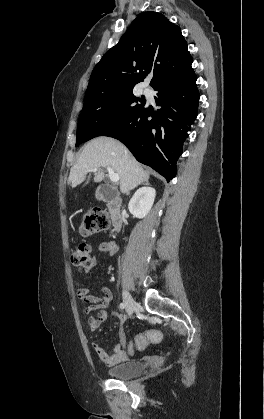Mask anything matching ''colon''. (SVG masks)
<instances>
[{
	"mask_svg": "<svg viewBox=\"0 0 264 419\" xmlns=\"http://www.w3.org/2000/svg\"><path fill=\"white\" fill-rule=\"evenodd\" d=\"M109 219L106 212L95 209L85 215L82 220L80 231L84 235H91L106 231L109 229ZM71 262L77 267H90L93 263L92 249L89 243L85 241L78 242L71 255ZM156 339L155 332L139 334L130 342L132 350L141 351L149 344L154 343Z\"/></svg>",
	"mask_w": 264,
	"mask_h": 419,
	"instance_id": "5ec220e1",
	"label": "colon"
}]
</instances>
